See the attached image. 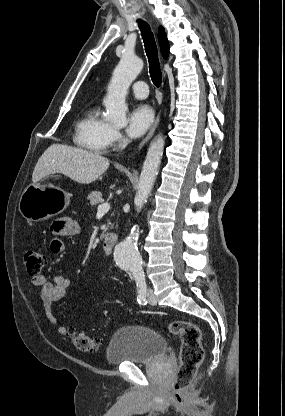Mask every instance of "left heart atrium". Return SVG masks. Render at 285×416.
Segmentation results:
<instances>
[{
    "label": "left heart atrium",
    "instance_id": "left-heart-atrium-1",
    "mask_svg": "<svg viewBox=\"0 0 285 416\" xmlns=\"http://www.w3.org/2000/svg\"><path fill=\"white\" fill-rule=\"evenodd\" d=\"M153 120L152 109L143 104L133 107L128 116L127 134L131 138H138L145 133Z\"/></svg>",
    "mask_w": 285,
    "mask_h": 416
}]
</instances>
